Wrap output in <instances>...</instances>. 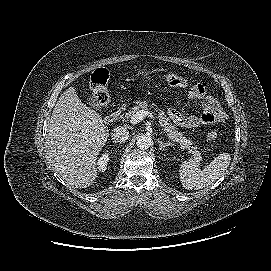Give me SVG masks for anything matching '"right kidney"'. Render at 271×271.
<instances>
[{"label": "right kidney", "instance_id": "right-kidney-1", "mask_svg": "<svg viewBox=\"0 0 271 271\" xmlns=\"http://www.w3.org/2000/svg\"><path fill=\"white\" fill-rule=\"evenodd\" d=\"M108 161H109V154L105 152L102 154V156L99 158L97 162L99 171L104 172L106 170Z\"/></svg>", "mask_w": 271, "mask_h": 271}]
</instances>
